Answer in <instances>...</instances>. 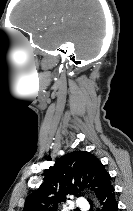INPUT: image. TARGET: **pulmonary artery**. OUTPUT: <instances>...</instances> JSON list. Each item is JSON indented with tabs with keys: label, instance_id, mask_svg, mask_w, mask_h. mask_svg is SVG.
I'll use <instances>...</instances> for the list:
<instances>
[{
	"label": "pulmonary artery",
	"instance_id": "e3ab8cb5",
	"mask_svg": "<svg viewBox=\"0 0 133 211\" xmlns=\"http://www.w3.org/2000/svg\"><path fill=\"white\" fill-rule=\"evenodd\" d=\"M75 207H77L81 210H87L88 209V203L84 198H78L75 201Z\"/></svg>",
	"mask_w": 133,
	"mask_h": 211
}]
</instances>
